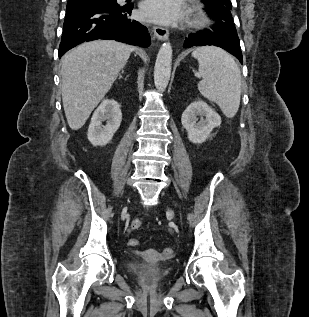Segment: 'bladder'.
<instances>
[{
    "label": "bladder",
    "mask_w": 309,
    "mask_h": 317,
    "mask_svg": "<svg viewBox=\"0 0 309 317\" xmlns=\"http://www.w3.org/2000/svg\"><path fill=\"white\" fill-rule=\"evenodd\" d=\"M127 269L140 284L146 287H154L170 275L169 269L152 266L143 261H129Z\"/></svg>",
    "instance_id": "obj_1"
}]
</instances>
